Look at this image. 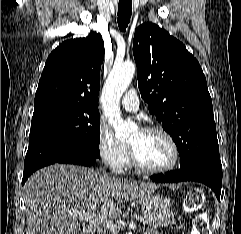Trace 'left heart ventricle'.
<instances>
[{"label":"left heart ventricle","instance_id":"b2bd125f","mask_svg":"<svg viewBox=\"0 0 241 234\" xmlns=\"http://www.w3.org/2000/svg\"><path fill=\"white\" fill-rule=\"evenodd\" d=\"M140 161L151 168H162L171 163L173 150L169 141L160 133L135 132L129 141Z\"/></svg>","mask_w":241,"mask_h":234}]
</instances>
